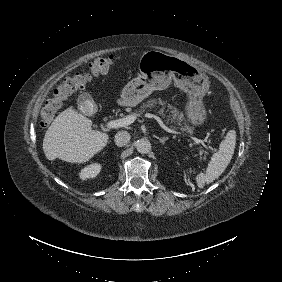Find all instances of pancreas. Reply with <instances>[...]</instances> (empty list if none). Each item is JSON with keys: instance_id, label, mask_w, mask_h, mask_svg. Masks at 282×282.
I'll list each match as a JSON object with an SVG mask.
<instances>
[{"instance_id": "cf45deb5", "label": "pancreas", "mask_w": 282, "mask_h": 282, "mask_svg": "<svg viewBox=\"0 0 282 282\" xmlns=\"http://www.w3.org/2000/svg\"><path fill=\"white\" fill-rule=\"evenodd\" d=\"M157 102L160 104V106L162 107L160 110H158L159 114L164 115V108H165V104L161 101V100H156V99H151L149 101H147V103H143L140 106L139 112H137V114L140 116L141 112L146 111L147 108L150 107H154L155 104H157ZM166 112H169V115L167 116L166 122L167 123H172L173 125H171L172 128H175L176 126L181 130V131H186L190 134H194V127H191V123L189 122V119L187 117H185V113L183 111H178L174 106L167 104L166 105ZM159 106H157L156 108H158Z\"/></svg>"}]
</instances>
